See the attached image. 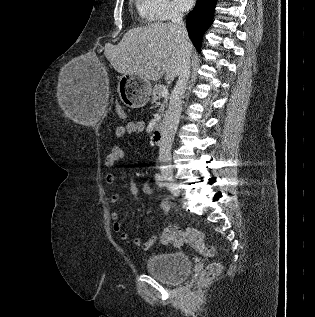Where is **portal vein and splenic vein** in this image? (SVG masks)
I'll return each mask as SVG.
<instances>
[{
  "instance_id": "18ae733b",
  "label": "portal vein and splenic vein",
  "mask_w": 315,
  "mask_h": 317,
  "mask_svg": "<svg viewBox=\"0 0 315 317\" xmlns=\"http://www.w3.org/2000/svg\"><path fill=\"white\" fill-rule=\"evenodd\" d=\"M161 93H162V96L165 98L168 96V90L166 88H164Z\"/></svg>"
}]
</instances>
